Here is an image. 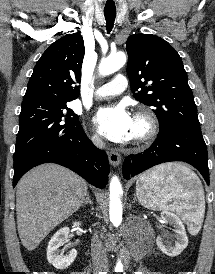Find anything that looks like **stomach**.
I'll list each match as a JSON object with an SVG mask.
<instances>
[{"label": "stomach", "instance_id": "stomach-1", "mask_svg": "<svg viewBox=\"0 0 215 274\" xmlns=\"http://www.w3.org/2000/svg\"><path fill=\"white\" fill-rule=\"evenodd\" d=\"M172 166H175L176 164H171Z\"/></svg>", "mask_w": 215, "mask_h": 274}]
</instances>
